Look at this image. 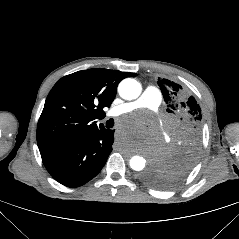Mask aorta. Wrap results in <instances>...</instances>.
<instances>
[{
  "label": "aorta",
  "instance_id": "obj_1",
  "mask_svg": "<svg viewBox=\"0 0 239 239\" xmlns=\"http://www.w3.org/2000/svg\"><path fill=\"white\" fill-rule=\"evenodd\" d=\"M141 85L132 78L122 80L118 86L119 95L125 100H133L140 96ZM130 167L133 170L141 171L145 168L146 159L142 156L135 155L130 159Z\"/></svg>",
  "mask_w": 239,
  "mask_h": 239
}]
</instances>
